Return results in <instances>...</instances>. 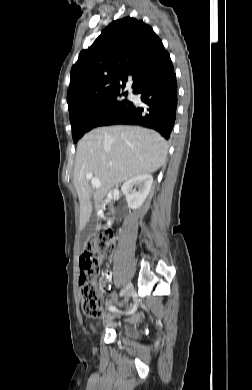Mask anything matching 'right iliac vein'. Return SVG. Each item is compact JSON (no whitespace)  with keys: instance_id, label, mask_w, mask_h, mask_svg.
Listing matches in <instances>:
<instances>
[{"instance_id":"right-iliac-vein-1","label":"right iliac vein","mask_w":252,"mask_h":390,"mask_svg":"<svg viewBox=\"0 0 252 390\" xmlns=\"http://www.w3.org/2000/svg\"><path fill=\"white\" fill-rule=\"evenodd\" d=\"M133 292H134L133 285L131 283H128L125 288V302H127L130 299V297L133 295ZM119 315L120 313L114 312L112 315H110V318L113 319L115 317H118Z\"/></svg>"}]
</instances>
